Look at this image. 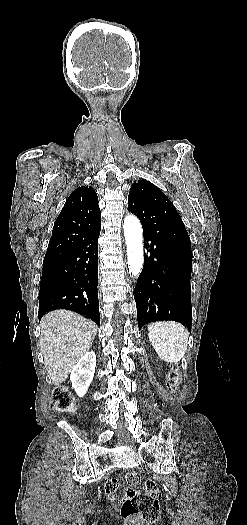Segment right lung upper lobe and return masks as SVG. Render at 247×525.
Instances as JSON below:
<instances>
[{
	"label": "right lung upper lobe",
	"instance_id": "1",
	"mask_svg": "<svg viewBox=\"0 0 247 525\" xmlns=\"http://www.w3.org/2000/svg\"><path fill=\"white\" fill-rule=\"evenodd\" d=\"M100 229L97 194L92 187L80 186L66 200L54 223L45 258L69 251Z\"/></svg>",
	"mask_w": 247,
	"mask_h": 525
}]
</instances>
